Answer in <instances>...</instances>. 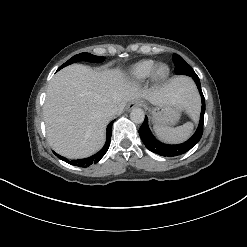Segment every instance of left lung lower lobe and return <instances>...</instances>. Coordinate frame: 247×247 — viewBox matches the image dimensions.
I'll list each match as a JSON object with an SVG mask.
<instances>
[{
	"instance_id": "left-lung-lower-lobe-1",
	"label": "left lung lower lobe",
	"mask_w": 247,
	"mask_h": 247,
	"mask_svg": "<svg viewBox=\"0 0 247 247\" xmlns=\"http://www.w3.org/2000/svg\"><path fill=\"white\" fill-rule=\"evenodd\" d=\"M190 77H192L193 80L195 81L202 99V109H201L199 126L196 132L194 133V135L186 142L178 145H168L156 140V138L153 136V134L151 133L148 127V118L147 116H145V120L139 129V135L141 140L147 147V149H149L150 151L156 154H159L161 156H169V157L181 155L187 152L188 150H190L196 143L199 142V140L202 137L204 113H205V99L201 90L199 77L197 75H192Z\"/></svg>"
}]
</instances>
